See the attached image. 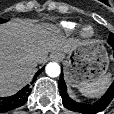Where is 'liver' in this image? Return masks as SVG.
Segmentation results:
<instances>
[{"label":"liver","mask_w":114,"mask_h":114,"mask_svg":"<svg viewBox=\"0 0 114 114\" xmlns=\"http://www.w3.org/2000/svg\"><path fill=\"white\" fill-rule=\"evenodd\" d=\"M76 43L54 24L23 19L0 24V96L13 95L26 85L49 52L69 51Z\"/></svg>","instance_id":"1"}]
</instances>
